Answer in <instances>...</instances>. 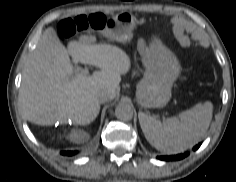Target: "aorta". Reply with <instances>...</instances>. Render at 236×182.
Returning a JSON list of instances; mask_svg holds the SVG:
<instances>
[{
    "mask_svg": "<svg viewBox=\"0 0 236 182\" xmlns=\"http://www.w3.org/2000/svg\"><path fill=\"white\" fill-rule=\"evenodd\" d=\"M115 115L121 121H130L133 118V109L130 104L121 102L116 106Z\"/></svg>",
    "mask_w": 236,
    "mask_h": 182,
    "instance_id": "obj_1",
    "label": "aorta"
}]
</instances>
